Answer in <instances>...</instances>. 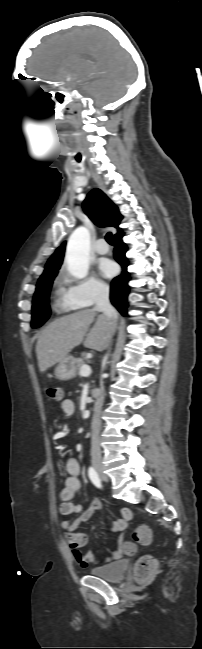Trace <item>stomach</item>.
Segmentation results:
<instances>
[{
  "label": "stomach",
  "mask_w": 202,
  "mask_h": 649,
  "mask_svg": "<svg viewBox=\"0 0 202 649\" xmlns=\"http://www.w3.org/2000/svg\"><path fill=\"white\" fill-rule=\"evenodd\" d=\"M78 370V360L68 355L55 368V376L60 380H69L76 376Z\"/></svg>",
  "instance_id": "stomach-1"
}]
</instances>
